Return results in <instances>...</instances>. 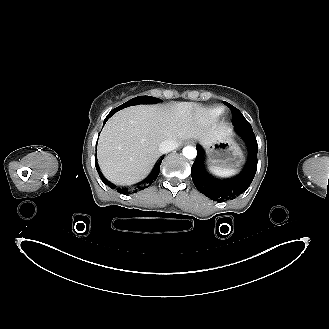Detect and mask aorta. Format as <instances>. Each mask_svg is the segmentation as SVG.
<instances>
[{"instance_id": "aorta-1", "label": "aorta", "mask_w": 329, "mask_h": 329, "mask_svg": "<svg viewBox=\"0 0 329 329\" xmlns=\"http://www.w3.org/2000/svg\"><path fill=\"white\" fill-rule=\"evenodd\" d=\"M182 153L187 159H194L196 158L197 150L193 146H186L183 148Z\"/></svg>"}]
</instances>
